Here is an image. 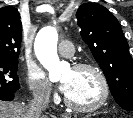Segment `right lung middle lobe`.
<instances>
[{
	"instance_id": "1",
	"label": "right lung middle lobe",
	"mask_w": 133,
	"mask_h": 118,
	"mask_svg": "<svg viewBox=\"0 0 133 118\" xmlns=\"http://www.w3.org/2000/svg\"><path fill=\"white\" fill-rule=\"evenodd\" d=\"M17 68V60L0 59V94L12 93L20 88Z\"/></svg>"
}]
</instances>
